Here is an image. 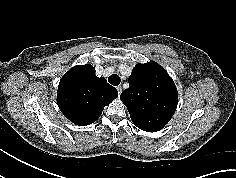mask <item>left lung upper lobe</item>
<instances>
[{
	"label": "left lung upper lobe",
	"instance_id": "5c2ea615",
	"mask_svg": "<svg viewBox=\"0 0 236 178\" xmlns=\"http://www.w3.org/2000/svg\"><path fill=\"white\" fill-rule=\"evenodd\" d=\"M129 88L120 99L132 122L141 130H161L173 116L178 104L177 88L166 70L156 62L137 64L128 79Z\"/></svg>",
	"mask_w": 236,
	"mask_h": 178
}]
</instances>
